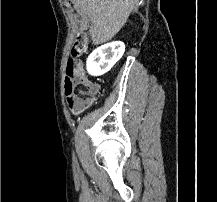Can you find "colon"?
Returning a JSON list of instances; mask_svg holds the SVG:
<instances>
[{
  "label": "colon",
  "instance_id": "5ec220e1",
  "mask_svg": "<svg viewBox=\"0 0 217 202\" xmlns=\"http://www.w3.org/2000/svg\"><path fill=\"white\" fill-rule=\"evenodd\" d=\"M73 41H76V46H88V41H91V36H73ZM70 54H80V49H70ZM79 55H69L66 60L69 66V73L65 75V80H70L66 83L68 91L65 95L68 96L67 103H72L71 111H80L84 107H88L94 102L93 98H97L96 91L99 87L94 83L89 82L86 78L84 68H88V63H84L83 59H79Z\"/></svg>",
  "mask_w": 217,
  "mask_h": 202
}]
</instances>
